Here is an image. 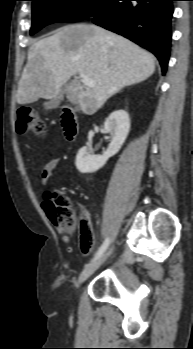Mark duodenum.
I'll return each mask as SVG.
<instances>
[{"mask_svg": "<svg viewBox=\"0 0 193 349\" xmlns=\"http://www.w3.org/2000/svg\"><path fill=\"white\" fill-rule=\"evenodd\" d=\"M61 124L65 137L73 140L78 134V121L75 112L70 108H64L62 113Z\"/></svg>", "mask_w": 193, "mask_h": 349, "instance_id": "410a0bca", "label": "duodenum"}]
</instances>
